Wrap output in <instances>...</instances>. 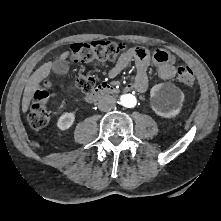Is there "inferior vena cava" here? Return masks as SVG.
<instances>
[{"label": "inferior vena cava", "mask_w": 221, "mask_h": 221, "mask_svg": "<svg viewBox=\"0 0 221 221\" xmlns=\"http://www.w3.org/2000/svg\"><path fill=\"white\" fill-rule=\"evenodd\" d=\"M115 105L116 100L110 95H104L98 101L99 110L104 112L112 110L115 107Z\"/></svg>", "instance_id": "602c4592"}]
</instances>
